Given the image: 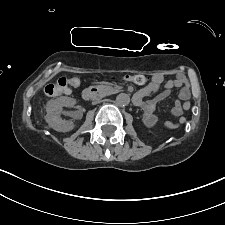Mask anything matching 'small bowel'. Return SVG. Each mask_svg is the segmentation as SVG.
I'll list each match as a JSON object with an SVG mask.
<instances>
[{"label":"small bowel","instance_id":"small-bowel-1","mask_svg":"<svg viewBox=\"0 0 225 225\" xmlns=\"http://www.w3.org/2000/svg\"><path fill=\"white\" fill-rule=\"evenodd\" d=\"M164 82L162 75L157 74L153 77L152 82L146 87L139 90L135 95V100L138 106L143 109V121L148 127H157L159 122L154 114L155 107L158 102L167 98L173 88L179 90L178 100L171 111V115L177 117V121H166L163 126L167 129L177 128L181 122L185 121L182 117L183 110L180 106L182 100H187L190 96L189 84L186 76L179 74L174 79L167 81L163 86V91L157 94L155 97L147 99L152 94L156 93ZM69 93V92H67Z\"/></svg>","mask_w":225,"mask_h":225}]
</instances>
